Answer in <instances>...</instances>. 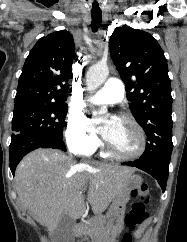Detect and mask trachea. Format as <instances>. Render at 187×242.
Wrapping results in <instances>:
<instances>
[{
	"label": "trachea",
	"mask_w": 187,
	"mask_h": 242,
	"mask_svg": "<svg viewBox=\"0 0 187 242\" xmlns=\"http://www.w3.org/2000/svg\"><path fill=\"white\" fill-rule=\"evenodd\" d=\"M91 16H92L91 28L93 32H96L101 25L102 12H92Z\"/></svg>",
	"instance_id": "trachea-1"
}]
</instances>
